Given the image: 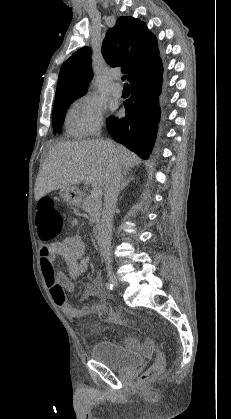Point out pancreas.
Wrapping results in <instances>:
<instances>
[{
	"label": "pancreas",
	"instance_id": "obj_1",
	"mask_svg": "<svg viewBox=\"0 0 231 419\" xmlns=\"http://www.w3.org/2000/svg\"><path fill=\"white\" fill-rule=\"evenodd\" d=\"M101 206H102L101 198H94L91 195H86L83 198L80 204V207L89 214L90 225H94L99 222L100 217H101Z\"/></svg>",
	"mask_w": 231,
	"mask_h": 419
}]
</instances>
